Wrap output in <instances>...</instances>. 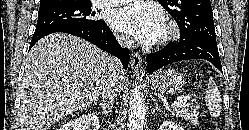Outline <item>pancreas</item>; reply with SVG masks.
<instances>
[{
	"label": "pancreas",
	"instance_id": "obj_1",
	"mask_svg": "<svg viewBox=\"0 0 249 130\" xmlns=\"http://www.w3.org/2000/svg\"><path fill=\"white\" fill-rule=\"evenodd\" d=\"M197 106L195 105H190L186 104L180 109L175 110V115L176 117H181L184 118L185 120H188L189 122L197 125L199 123L198 121V111H197Z\"/></svg>",
	"mask_w": 249,
	"mask_h": 130
}]
</instances>
